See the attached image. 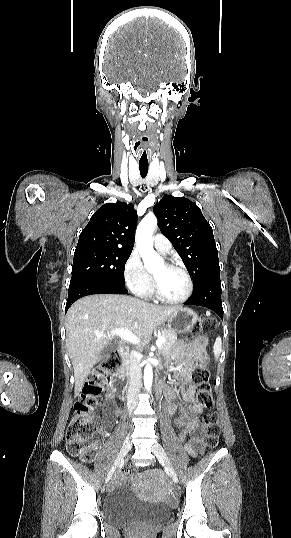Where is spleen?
I'll list each match as a JSON object with an SVG mask.
<instances>
[{"mask_svg": "<svg viewBox=\"0 0 291 538\" xmlns=\"http://www.w3.org/2000/svg\"><path fill=\"white\" fill-rule=\"evenodd\" d=\"M222 350V342L220 336L216 338L214 346H213V352L216 359L219 358Z\"/></svg>", "mask_w": 291, "mask_h": 538, "instance_id": "1", "label": "spleen"}]
</instances>
